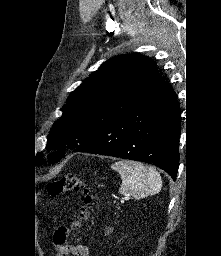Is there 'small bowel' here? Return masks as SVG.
<instances>
[{
	"label": "small bowel",
	"instance_id": "small-bowel-1",
	"mask_svg": "<svg viewBox=\"0 0 221 256\" xmlns=\"http://www.w3.org/2000/svg\"><path fill=\"white\" fill-rule=\"evenodd\" d=\"M68 249L75 255V256H90L89 248L86 245L79 244L68 247Z\"/></svg>",
	"mask_w": 221,
	"mask_h": 256
}]
</instances>
